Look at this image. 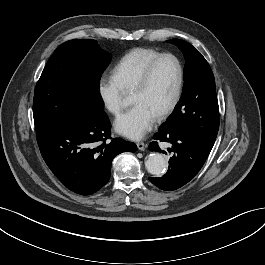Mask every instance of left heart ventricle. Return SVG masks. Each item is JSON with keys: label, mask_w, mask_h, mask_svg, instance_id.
<instances>
[{"label": "left heart ventricle", "mask_w": 265, "mask_h": 265, "mask_svg": "<svg viewBox=\"0 0 265 265\" xmlns=\"http://www.w3.org/2000/svg\"><path fill=\"white\" fill-rule=\"evenodd\" d=\"M178 81V69L172 59L160 61L147 87L131 94L132 104H142L156 116L171 102Z\"/></svg>", "instance_id": "1"}]
</instances>
